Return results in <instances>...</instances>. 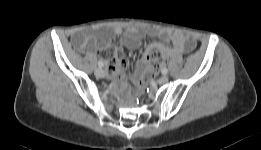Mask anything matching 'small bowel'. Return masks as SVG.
<instances>
[{
  "mask_svg": "<svg viewBox=\"0 0 261 150\" xmlns=\"http://www.w3.org/2000/svg\"><path fill=\"white\" fill-rule=\"evenodd\" d=\"M119 36H122V44L130 50L137 49L145 36L161 39L165 45L155 44L153 47H159L168 57H176L189 52L195 46V42L188 36L169 28L155 26H131L126 31L120 26L114 27L111 31L81 29L72 35V42L82 52H100L105 60L112 62L111 70L115 77L118 80H123L128 63L120 49H110L112 39ZM144 65V59L139 60L137 67L131 66L129 68V73L136 75L138 69L143 68Z\"/></svg>",
  "mask_w": 261,
  "mask_h": 150,
  "instance_id": "obj_1",
  "label": "small bowel"
}]
</instances>
